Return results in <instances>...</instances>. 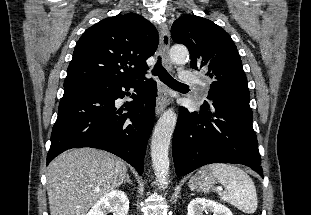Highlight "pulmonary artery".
Returning <instances> with one entry per match:
<instances>
[{
	"instance_id": "e3ab8cb5",
	"label": "pulmonary artery",
	"mask_w": 311,
	"mask_h": 215,
	"mask_svg": "<svg viewBox=\"0 0 311 215\" xmlns=\"http://www.w3.org/2000/svg\"><path fill=\"white\" fill-rule=\"evenodd\" d=\"M180 78L182 82L198 85L203 92H205L208 88V83L205 80L192 74L189 71H182Z\"/></svg>"
}]
</instances>
